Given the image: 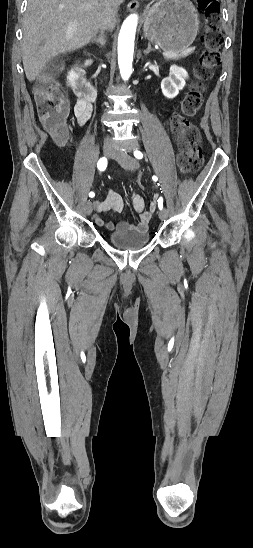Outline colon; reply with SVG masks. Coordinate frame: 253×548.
<instances>
[{"label": "colon", "mask_w": 253, "mask_h": 548, "mask_svg": "<svg viewBox=\"0 0 253 548\" xmlns=\"http://www.w3.org/2000/svg\"><path fill=\"white\" fill-rule=\"evenodd\" d=\"M206 17V26L202 34L204 50L195 68V81L181 101V112L171 119V128L179 145L178 165L183 174L197 172L203 164L201 135L187 117L194 116L202 107L204 83L212 77L213 70L219 65L223 43L220 29V4L218 0H198ZM57 65L48 67L35 81L33 92L39 118L42 124L55 137L64 141L67 137L68 104L60 92L55 74ZM144 174L136 177L138 189L146 190Z\"/></svg>", "instance_id": "colon-1"}]
</instances>
